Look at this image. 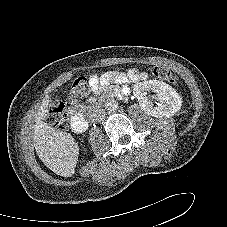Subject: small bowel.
Returning a JSON list of instances; mask_svg holds the SVG:
<instances>
[{"label":"small bowel","mask_w":227,"mask_h":227,"mask_svg":"<svg viewBox=\"0 0 227 227\" xmlns=\"http://www.w3.org/2000/svg\"><path fill=\"white\" fill-rule=\"evenodd\" d=\"M147 78V74L144 72H138L135 70L125 72H112L101 77H92L90 81V88L92 91L96 92L101 87L106 85L109 82L124 83L134 80H144Z\"/></svg>","instance_id":"small-bowel-1"}]
</instances>
